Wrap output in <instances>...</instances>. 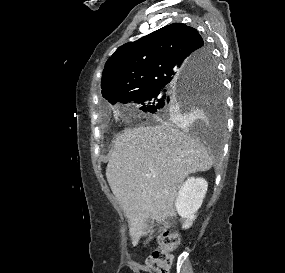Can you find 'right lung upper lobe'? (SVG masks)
Returning <instances> with one entry per match:
<instances>
[{"mask_svg": "<svg viewBox=\"0 0 285 273\" xmlns=\"http://www.w3.org/2000/svg\"><path fill=\"white\" fill-rule=\"evenodd\" d=\"M207 50L194 28L167 25L115 51L103 70L102 96L116 104L142 91L191 78L200 72L197 68Z\"/></svg>", "mask_w": 285, "mask_h": 273, "instance_id": "cb5924a9", "label": "right lung upper lobe"}]
</instances>
